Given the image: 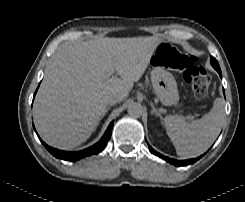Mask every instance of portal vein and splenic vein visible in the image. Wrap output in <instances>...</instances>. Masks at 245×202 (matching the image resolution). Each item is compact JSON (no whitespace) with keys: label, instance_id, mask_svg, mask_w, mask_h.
<instances>
[{"label":"portal vein and splenic vein","instance_id":"1","mask_svg":"<svg viewBox=\"0 0 245 202\" xmlns=\"http://www.w3.org/2000/svg\"><path fill=\"white\" fill-rule=\"evenodd\" d=\"M113 72H114V69L113 68H110L109 71H108V73H107V77H110L113 74ZM184 118L185 119H188V120H192L193 119L192 116H185Z\"/></svg>","mask_w":245,"mask_h":202}]
</instances>
